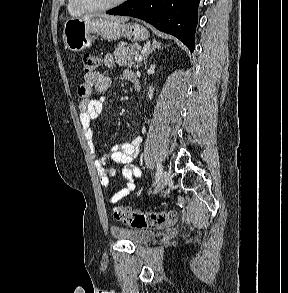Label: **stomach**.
I'll use <instances>...</instances> for the list:
<instances>
[{"label": "stomach", "mask_w": 288, "mask_h": 293, "mask_svg": "<svg viewBox=\"0 0 288 293\" xmlns=\"http://www.w3.org/2000/svg\"><path fill=\"white\" fill-rule=\"evenodd\" d=\"M95 35L108 40L126 37L131 41L145 40L149 37L146 28L133 22H116L100 17L70 18L63 29V40L66 48L72 52H80L92 46Z\"/></svg>", "instance_id": "0dacf381"}]
</instances>
